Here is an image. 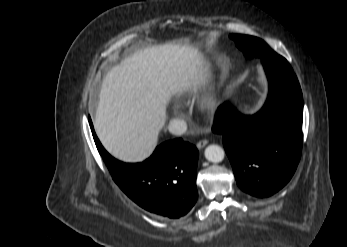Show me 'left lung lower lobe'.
Listing matches in <instances>:
<instances>
[{
  "mask_svg": "<svg viewBox=\"0 0 347 247\" xmlns=\"http://www.w3.org/2000/svg\"><path fill=\"white\" fill-rule=\"evenodd\" d=\"M269 95L262 109L245 116L229 103L217 112L213 132L223 136L238 186L256 197H268L293 176L302 149L303 97L285 58L262 57Z\"/></svg>",
  "mask_w": 347,
  "mask_h": 247,
  "instance_id": "1",
  "label": "left lung lower lobe"
}]
</instances>
